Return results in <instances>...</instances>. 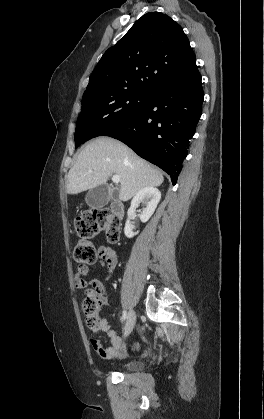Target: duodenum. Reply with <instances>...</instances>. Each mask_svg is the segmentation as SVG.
<instances>
[{
	"mask_svg": "<svg viewBox=\"0 0 264 419\" xmlns=\"http://www.w3.org/2000/svg\"><path fill=\"white\" fill-rule=\"evenodd\" d=\"M111 211L118 218H122L124 216V206L120 201L116 200L112 202Z\"/></svg>",
	"mask_w": 264,
	"mask_h": 419,
	"instance_id": "duodenum-1",
	"label": "duodenum"
}]
</instances>
